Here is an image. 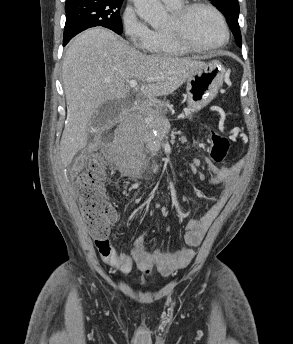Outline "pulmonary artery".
I'll use <instances>...</instances> for the list:
<instances>
[{
	"mask_svg": "<svg viewBox=\"0 0 293 344\" xmlns=\"http://www.w3.org/2000/svg\"><path fill=\"white\" fill-rule=\"evenodd\" d=\"M162 1L168 5H174V4H177L178 2H180L181 0H162Z\"/></svg>",
	"mask_w": 293,
	"mask_h": 344,
	"instance_id": "obj_1",
	"label": "pulmonary artery"
}]
</instances>
